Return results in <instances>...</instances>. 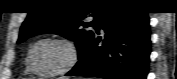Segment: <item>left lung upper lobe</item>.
<instances>
[{
  "instance_id": "left-lung-upper-lobe-1",
  "label": "left lung upper lobe",
  "mask_w": 177,
  "mask_h": 79,
  "mask_svg": "<svg viewBox=\"0 0 177 79\" xmlns=\"http://www.w3.org/2000/svg\"><path fill=\"white\" fill-rule=\"evenodd\" d=\"M75 2V3H66ZM117 0H81V1H40L36 10L28 13L26 20L20 29L17 43H21L37 34L55 33L75 41L80 58L89 43L93 39L94 32L87 30L88 27L97 28L102 11ZM66 4H78L84 7L75 9L66 8ZM88 10H91L94 20L85 22Z\"/></svg>"
}]
</instances>
